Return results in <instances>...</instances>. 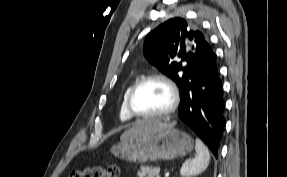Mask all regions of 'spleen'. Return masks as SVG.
<instances>
[{
  "label": "spleen",
  "instance_id": "obj_1",
  "mask_svg": "<svg viewBox=\"0 0 287 177\" xmlns=\"http://www.w3.org/2000/svg\"><path fill=\"white\" fill-rule=\"evenodd\" d=\"M195 150V158L186 160L180 169V174L183 177L196 176L206 170L209 165V151L203 142L198 138L195 141Z\"/></svg>",
  "mask_w": 287,
  "mask_h": 177
}]
</instances>
